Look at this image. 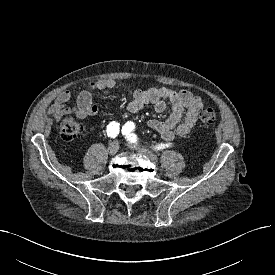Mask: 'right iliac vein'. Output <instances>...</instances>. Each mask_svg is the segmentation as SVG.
<instances>
[{
  "label": "right iliac vein",
  "mask_w": 275,
  "mask_h": 275,
  "mask_svg": "<svg viewBox=\"0 0 275 275\" xmlns=\"http://www.w3.org/2000/svg\"><path fill=\"white\" fill-rule=\"evenodd\" d=\"M118 150H119V143L117 141L110 143L107 149L110 155H115L118 152Z\"/></svg>",
  "instance_id": "1"
}]
</instances>
